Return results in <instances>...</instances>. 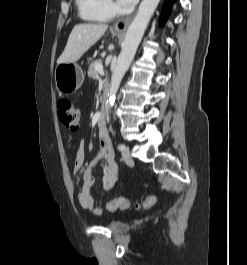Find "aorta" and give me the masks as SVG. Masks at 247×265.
Listing matches in <instances>:
<instances>
[{
	"instance_id": "762f6f07",
	"label": "aorta",
	"mask_w": 247,
	"mask_h": 265,
	"mask_svg": "<svg viewBox=\"0 0 247 265\" xmlns=\"http://www.w3.org/2000/svg\"><path fill=\"white\" fill-rule=\"evenodd\" d=\"M160 0H142L138 12L131 22L125 35L122 51L118 56L115 68L111 76V84L108 93L107 107L110 108L115 101V96L124 77V74L130 66L137 47L141 42L147 25L158 6Z\"/></svg>"
}]
</instances>
